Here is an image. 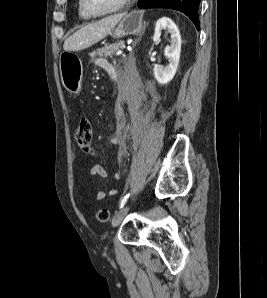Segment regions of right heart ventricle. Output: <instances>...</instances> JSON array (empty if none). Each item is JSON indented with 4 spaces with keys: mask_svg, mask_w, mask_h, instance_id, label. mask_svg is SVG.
Instances as JSON below:
<instances>
[{
    "mask_svg": "<svg viewBox=\"0 0 267 298\" xmlns=\"http://www.w3.org/2000/svg\"><path fill=\"white\" fill-rule=\"evenodd\" d=\"M78 13H79V15H80L82 18H84V19H88V18H89V17L86 16V15L83 13V11L81 10V8H80V4L78 5Z\"/></svg>",
    "mask_w": 267,
    "mask_h": 298,
    "instance_id": "right-heart-ventricle-1",
    "label": "right heart ventricle"
}]
</instances>
